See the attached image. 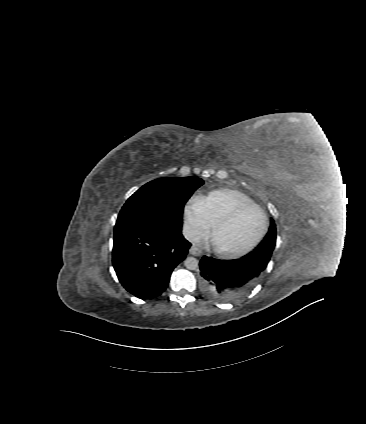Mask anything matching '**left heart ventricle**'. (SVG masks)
Here are the masks:
<instances>
[{
    "instance_id": "b2bd125f",
    "label": "left heart ventricle",
    "mask_w": 366,
    "mask_h": 424,
    "mask_svg": "<svg viewBox=\"0 0 366 424\" xmlns=\"http://www.w3.org/2000/svg\"><path fill=\"white\" fill-rule=\"evenodd\" d=\"M263 217L256 209H248L215 233V243L226 249H241L253 242L261 232Z\"/></svg>"
}]
</instances>
